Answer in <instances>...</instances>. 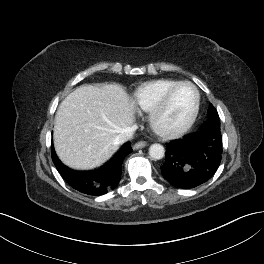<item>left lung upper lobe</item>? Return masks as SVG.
I'll list each match as a JSON object with an SVG mask.
<instances>
[{
  "instance_id": "left-lung-upper-lobe-1",
  "label": "left lung upper lobe",
  "mask_w": 264,
  "mask_h": 264,
  "mask_svg": "<svg viewBox=\"0 0 264 264\" xmlns=\"http://www.w3.org/2000/svg\"><path fill=\"white\" fill-rule=\"evenodd\" d=\"M207 114H208V119L203 124L207 127H212V128L214 127L220 130L219 116L217 110L212 104H210Z\"/></svg>"
}]
</instances>
